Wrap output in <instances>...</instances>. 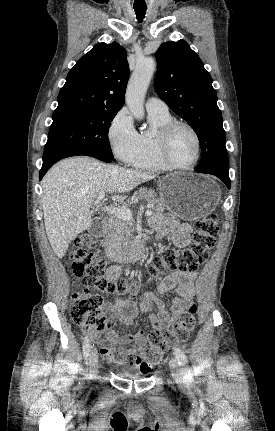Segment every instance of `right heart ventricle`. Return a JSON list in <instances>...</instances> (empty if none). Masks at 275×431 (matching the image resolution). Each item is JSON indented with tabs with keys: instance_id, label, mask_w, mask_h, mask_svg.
Returning <instances> with one entry per match:
<instances>
[{
	"instance_id": "1",
	"label": "right heart ventricle",
	"mask_w": 275,
	"mask_h": 431,
	"mask_svg": "<svg viewBox=\"0 0 275 431\" xmlns=\"http://www.w3.org/2000/svg\"><path fill=\"white\" fill-rule=\"evenodd\" d=\"M148 114L149 121L152 125V131L140 135L141 151L132 165L138 169L152 172L168 170L169 168L161 161L158 155L156 135L158 131L168 122L172 121L173 118L169 112H148Z\"/></svg>"
}]
</instances>
